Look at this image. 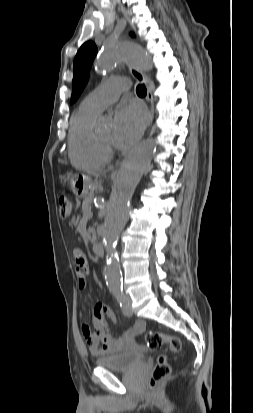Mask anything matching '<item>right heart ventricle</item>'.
I'll return each mask as SVG.
<instances>
[{"label":"right heart ventricle","instance_id":"1","mask_svg":"<svg viewBox=\"0 0 253 413\" xmlns=\"http://www.w3.org/2000/svg\"><path fill=\"white\" fill-rule=\"evenodd\" d=\"M97 115L81 105L71 117L68 155L75 166L95 169L107 161V154L99 147L92 129Z\"/></svg>","mask_w":253,"mask_h":413}]
</instances>
